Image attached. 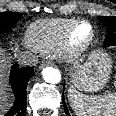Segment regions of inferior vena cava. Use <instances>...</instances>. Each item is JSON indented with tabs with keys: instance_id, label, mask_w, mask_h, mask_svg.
<instances>
[{
	"instance_id": "602c4592",
	"label": "inferior vena cava",
	"mask_w": 116,
	"mask_h": 116,
	"mask_svg": "<svg viewBox=\"0 0 116 116\" xmlns=\"http://www.w3.org/2000/svg\"><path fill=\"white\" fill-rule=\"evenodd\" d=\"M18 63L22 66H34L37 64V59L31 53L23 52L16 57Z\"/></svg>"
}]
</instances>
